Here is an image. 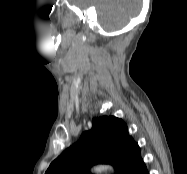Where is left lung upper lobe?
I'll return each mask as SVG.
<instances>
[{
  "label": "left lung upper lobe",
  "mask_w": 187,
  "mask_h": 174,
  "mask_svg": "<svg viewBox=\"0 0 187 174\" xmlns=\"http://www.w3.org/2000/svg\"><path fill=\"white\" fill-rule=\"evenodd\" d=\"M141 162L140 148L128 135L126 124L103 116L94 118L92 129L58 156L45 174H90L89 168L96 163H109L117 174H130Z\"/></svg>",
  "instance_id": "1"
}]
</instances>
